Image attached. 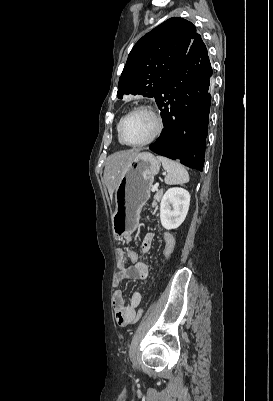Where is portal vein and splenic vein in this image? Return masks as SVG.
I'll use <instances>...</instances> for the list:
<instances>
[{
	"label": "portal vein and splenic vein",
	"mask_w": 273,
	"mask_h": 401,
	"mask_svg": "<svg viewBox=\"0 0 273 401\" xmlns=\"http://www.w3.org/2000/svg\"><path fill=\"white\" fill-rule=\"evenodd\" d=\"M163 174H166V172H163ZM158 188V182H156L155 186H152V190H157Z\"/></svg>",
	"instance_id": "portal-vein-and-splenic-vein-1"
}]
</instances>
